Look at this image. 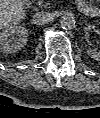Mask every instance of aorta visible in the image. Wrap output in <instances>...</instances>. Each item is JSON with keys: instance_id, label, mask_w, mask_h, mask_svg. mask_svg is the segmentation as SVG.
Masks as SVG:
<instances>
[{"instance_id": "aorta-1", "label": "aorta", "mask_w": 100, "mask_h": 118, "mask_svg": "<svg viewBox=\"0 0 100 118\" xmlns=\"http://www.w3.org/2000/svg\"><path fill=\"white\" fill-rule=\"evenodd\" d=\"M60 26L65 30H71L75 26V18L71 14H64L60 18Z\"/></svg>"}]
</instances>
